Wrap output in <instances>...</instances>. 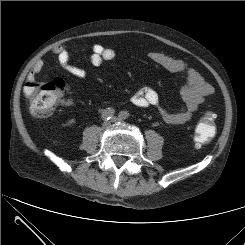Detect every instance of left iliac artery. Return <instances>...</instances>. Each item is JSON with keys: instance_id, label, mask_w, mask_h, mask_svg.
Wrapping results in <instances>:
<instances>
[{"instance_id": "obj_1", "label": "left iliac artery", "mask_w": 245, "mask_h": 245, "mask_svg": "<svg viewBox=\"0 0 245 245\" xmlns=\"http://www.w3.org/2000/svg\"><path fill=\"white\" fill-rule=\"evenodd\" d=\"M119 117L122 118V119H127V118L130 117V114L127 111H121L119 113Z\"/></svg>"}]
</instances>
